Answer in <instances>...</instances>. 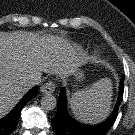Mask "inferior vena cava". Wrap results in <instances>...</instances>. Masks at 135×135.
<instances>
[{
	"label": "inferior vena cava",
	"instance_id": "obj_1",
	"mask_svg": "<svg viewBox=\"0 0 135 135\" xmlns=\"http://www.w3.org/2000/svg\"><path fill=\"white\" fill-rule=\"evenodd\" d=\"M38 83L39 81L34 76H30L26 81V86L30 88L37 85Z\"/></svg>",
	"mask_w": 135,
	"mask_h": 135
}]
</instances>
